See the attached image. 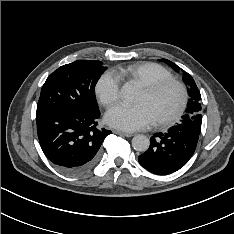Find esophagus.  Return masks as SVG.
Listing matches in <instances>:
<instances>
[{
	"instance_id": "obj_1",
	"label": "esophagus",
	"mask_w": 234,
	"mask_h": 234,
	"mask_svg": "<svg viewBox=\"0 0 234 234\" xmlns=\"http://www.w3.org/2000/svg\"><path fill=\"white\" fill-rule=\"evenodd\" d=\"M114 133H115V134L122 135V136H125V137H131V136H133L132 133L122 132V131H118V130H115Z\"/></svg>"
}]
</instances>
